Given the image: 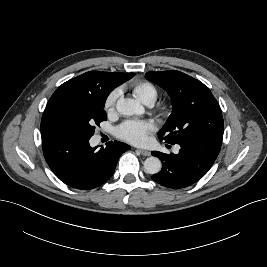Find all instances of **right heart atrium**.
I'll use <instances>...</instances> for the list:
<instances>
[{"mask_svg": "<svg viewBox=\"0 0 267 267\" xmlns=\"http://www.w3.org/2000/svg\"><path fill=\"white\" fill-rule=\"evenodd\" d=\"M119 95L120 91L118 89H114L107 95L104 101V109L106 112L110 113L113 111Z\"/></svg>", "mask_w": 267, "mask_h": 267, "instance_id": "1", "label": "right heart atrium"}]
</instances>
